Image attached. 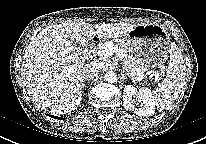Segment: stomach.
I'll list each match as a JSON object with an SVG mask.
<instances>
[{
  "instance_id": "0dacf381",
  "label": "stomach",
  "mask_w": 206,
  "mask_h": 144,
  "mask_svg": "<svg viewBox=\"0 0 206 144\" xmlns=\"http://www.w3.org/2000/svg\"><path fill=\"white\" fill-rule=\"evenodd\" d=\"M122 40L139 66L148 71L147 74L165 69L164 64L171 55L172 43L163 25L138 24Z\"/></svg>"
}]
</instances>
